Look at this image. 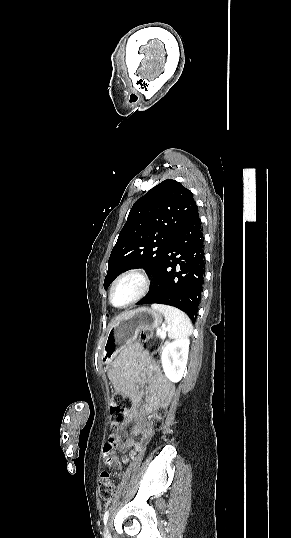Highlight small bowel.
I'll list each match as a JSON object with an SVG mask.
<instances>
[{
	"mask_svg": "<svg viewBox=\"0 0 291 538\" xmlns=\"http://www.w3.org/2000/svg\"><path fill=\"white\" fill-rule=\"evenodd\" d=\"M105 370L114 391L132 402L125 423L133 425V437L124 440L121 432H114L107 441L121 454V460L116 458V464L109 466L118 476L123 465H127L130 458L149 442L151 433L146 426V417L159 400L167 402L171 399L174 387L162 377L158 366L138 349H126L114 356L113 363H107ZM126 452L129 456L124 454Z\"/></svg>",
	"mask_w": 291,
	"mask_h": 538,
	"instance_id": "small-bowel-1",
	"label": "small bowel"
}]
</instances>
